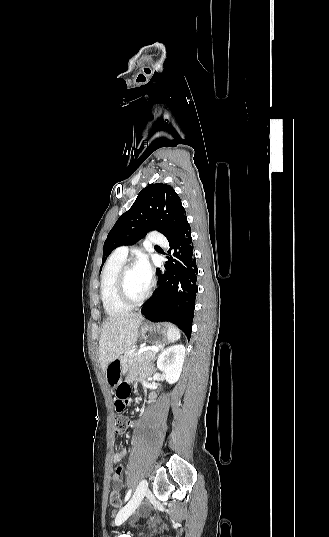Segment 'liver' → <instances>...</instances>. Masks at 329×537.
<instances>
[{"instance_id": "6515ba94", "label": "liver", "mask_w": 329, "mask_h": 537, "mask_svg": "<svg viewBox=\"0 0 329 537\" xmlns=\"http://www.w3.org/2000/svg\"><path fill=\"white\" fill-rule=\"evenodd\" d=\"M141 314L110 317L102 324L99 341V361L103 372L107 366L129 351L136 343Z\"/></svg>"}]
</instances>
